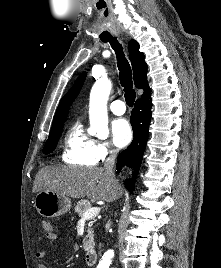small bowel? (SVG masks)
Segmentation results:
<instances>
[{
  "label": "small bowel",
  "instance_id": "small-bowel-1",
  "mask_svg": "<svg viewBox=\"0 0 221 268\" xmlns=\"http://www.w3.org/2000/svg\"><path fill=\"white\" fill-rule=\"evenodd\" d=\"M45 238H46V240L52 242V241H55V240L57 239V234H56L55 232H53V230H51V231H49V232H46V234H45ZM45 254H46V251H45L44 248H39V249H37V251H36V257H37L39 260L43 259L44 256H45ZM38 268H48V266L46 265V263H44V262H40V263L38 264Z\"/></svg>",
  "mask_w": 221,
  "mask_h": 268
}]
</instances>
